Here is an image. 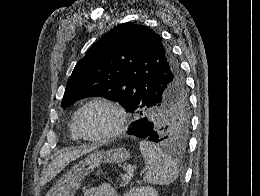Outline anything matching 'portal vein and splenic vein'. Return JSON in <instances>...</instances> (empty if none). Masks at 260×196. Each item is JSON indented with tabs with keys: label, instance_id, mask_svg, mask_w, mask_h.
Segmentation results:
<instances>
[{
	"label": "portal vein and splenic vein",
	"instance_id": "18ae733b",
	"mask_svg": "<svg viewBox=\"0 0 260 196\" xmlns=\"http://www.w3.org/2000/svg\"><path fill=\"white\" fill-rule=\"evenodd\" d=\"M127 168H128L127 170L128 174H130V176H133V172H134L133 168H135V166H127Z\"/></svg>",
	"mask_w": 260,
	"mask_h": 196
}]
</instances>
